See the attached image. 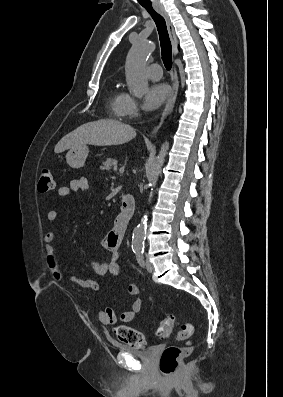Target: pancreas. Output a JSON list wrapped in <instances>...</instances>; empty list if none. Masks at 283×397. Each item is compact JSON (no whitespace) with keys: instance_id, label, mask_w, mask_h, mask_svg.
Returning a JSON list of instances; mask_svg holds the SVG:
<instances>
[{"instance_id":"1","label":"pancreas","mask_w":283,"mask_h":397,"mask_svg":"<svg viewBox=\"0 0 283 397\" xmlns=\"http://www.w3.org/2000/svg\"><path fill=\"white\" fill-rule=\"evenodd\" d=\"M118 165L117 160L113 159V158H107L106 161L102 162V169L103 170H111V169H115Z\"/></svg>"}]
</instances>
